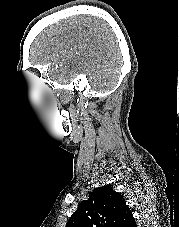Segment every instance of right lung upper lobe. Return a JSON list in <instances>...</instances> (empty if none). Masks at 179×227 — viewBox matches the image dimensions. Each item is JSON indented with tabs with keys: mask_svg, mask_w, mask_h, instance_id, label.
<instances>
[{
	"mask_svg": "<svg viewBox=\"0 0 179 227\" xmlns=\"http://www.w3.org/2000/svg\"><path fill=\"white\" fill-rule=\"evenodd\" d=\"M135 224L123 196L110 186H102L80 204L66 227H133Z\"/></svg>",
	"mask_w": 179,
	"mask_h": 227,
	"instance_id": "cb5924a9",
	"label": "right lung upper lobe"
}]
</instances>
